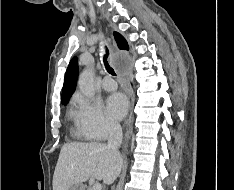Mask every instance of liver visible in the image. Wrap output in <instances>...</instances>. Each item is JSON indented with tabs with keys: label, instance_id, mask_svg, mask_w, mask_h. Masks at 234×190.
Masks as SVG:
<instances>
[{
	"label": "liver",
	"instance_id": "obj_1",
	"mask_svg": "<svg viewBox=\"0 0 234 190\" xmlns=\"http://www.w3.org/2000/svg\"><path fill=\"white\" fill-rule=\"evenodd\" d=\"M122 157L103 143H66L62 146L53 175V190H69L90 178L111 184L122 168Z\"/></svg>",
	"mask_w": 234,
	"mask_h": 190
}]
</instances>
